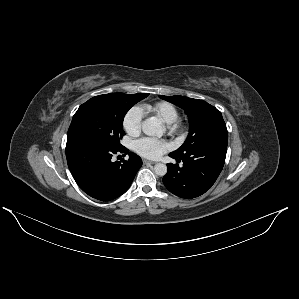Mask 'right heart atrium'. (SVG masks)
Here are the masks:
<instances>
[{
	"mask_svg": "<svg viewBox=\"0 0 299 299\" xmlns=\"http://www.w3.org/2000/svg\"><path fill=\"white\" fill-rule=\"evenodd\" d=\"M142 110L134 107L128 111L123 120V127L130 136H137L142 127Z\"/></svg>",
	"mask_w": 299,
	"mask_h": 299,
	"instance_id": "d8ad5b80",
	"label": "right heart atrium"
}]
</instances>
